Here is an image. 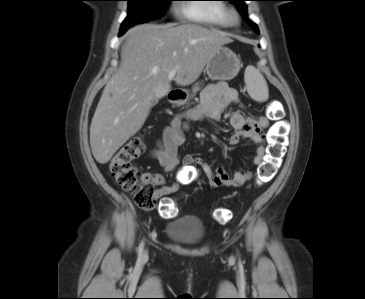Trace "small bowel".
I'll list each match as a JSON object with an SVG mask.
<instances>
[{
  "instance_id": "c3829d8e",
  "label": "small bowel",
  "mask_w": 365,
  "mask_h": 299,
  "mask_svg": "<svg viewBox=\"0 0 365 299\" xmlns=\"http://www.w3.org/2000/svg\"><path fill=\"white\" fill-rule=\"evenodd\" d=\"M239 101L238 92L223 83L209 84L201 94V102L194 109L183 115L172 118L164 129L158 142V147L152 151L151 156L156 159L166 172L174 171L182 162V168L176 178V182L165 184L163 176L156 173H145L143 179L152 184L159 185L155 195L163 198L176 193L180 186L191 182L198 174H202L212 187H240L252 178L251 171H236L228 174L222 168L212 169L203 160L185 156L181 159L179 147L185 142V134L190 122L200 121L204 118L219 119L225 108L231 103ZM229 121L234 132L229 138L231 145H237L241 140L247 139L256 145L253 164L259 165L266 154V133L269 120L265 116H245L233 112Z\"/></svg>"
}]
</instances>
